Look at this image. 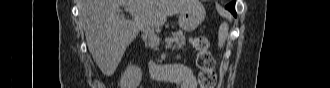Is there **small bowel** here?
<instances>
[{"label":"small bowel","instance_id":"small-bowel-1","mask_svg":"<svg viewBox=\"0 0 330 88\" xmlns=\"http://www.w3.org/2000/svg\"><path fill=\"white\" fill-rule=\"evenodd\" d=\"M170 81L177 82L181 88H196L197 82L190 67L182 64L168 66L167 70Z\"/></svg>","mask_w":330,"mask_h":88}]
</instances>
